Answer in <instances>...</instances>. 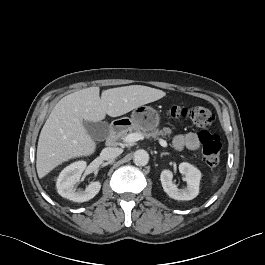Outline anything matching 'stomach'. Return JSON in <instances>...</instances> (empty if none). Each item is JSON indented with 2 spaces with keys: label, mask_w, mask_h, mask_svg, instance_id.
<instances>
[{
  "label": "stomach",
  "mask_w": 265,
  "mask_h": 265,
  "mask_svg": "<svg viewBox=\"0 0 265 265\" xmlns=\"http://www.w3.org/2000/svg\"><path fill=\"white\" fill-rule=\"evenodd\" d=\"M127 126L143 131L154 130L160 121L157 110L150 106H139L131 114V118L121 119Z\"/></svg>",
  "instance_id": "0dacf381"
}]
</instances>
